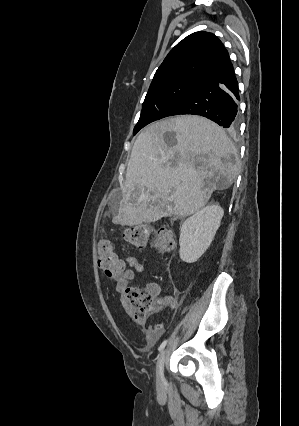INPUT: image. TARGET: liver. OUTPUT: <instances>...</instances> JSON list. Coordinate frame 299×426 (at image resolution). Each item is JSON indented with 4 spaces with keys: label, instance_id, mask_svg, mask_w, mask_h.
<instances>
[{
    "label": "liver",
    "instance_id": "6515ba94",
    "mask_svg": "<svg viewBox=\"0 0 299 426\" xmlns=\"http://www.w3.org/2000/svg\"><path fill=\"white\" fill-rule=\"evenodd\" d=\"M174 133V143L165 139ZM237 149L226 132L196 115L167 118L136 138L115 224L136 226L163 217H186L204 207L217 188L237 176Z\"/></svg>",
    "mask_w": 299,
    "mask_h": 426
}]
</instances>
